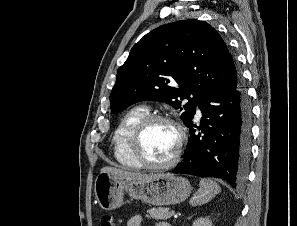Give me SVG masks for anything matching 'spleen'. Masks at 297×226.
<instances>
[{
  "instance_id": "obj_1",
  "label": "spleen",
  "mask_w": 297,
  "mask_h": 226,
  "mask_svg": "<svg viewBox=\"0 0 297 226\" xmlns=\"http://www.w3.org/2000/svg\"><path fill=\"white\" fill-rule=\"evenodd\" d=\"M221 191L220 186L211 179H201L199 189L190 199L192 206L208 203L215 195Z\"/></svg>"
}]
</instances>
